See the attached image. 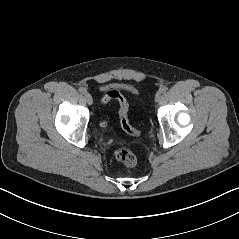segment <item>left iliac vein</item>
Listing matches in <instances>:
<instances>
[{"mask_svg": "<svg viewBox=\"0 0 239 239\" xmlns=\"http://www.w3.org/2000/svg\"><path fill=\"white\" fill-rule=\"evenodd\" d=\"M161 99V92L158 91L155 95V102H158Z\"/></svg>", "mask_w": 239, "mask_h": 239, "instance_id": "left-iliac-vein-1", "label": "left iliac vein"}]
</instances>
